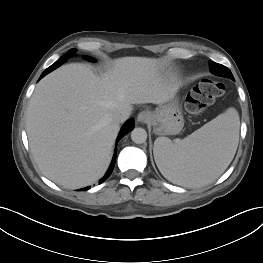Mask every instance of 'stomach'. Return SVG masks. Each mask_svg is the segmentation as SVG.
<instances>
[{
    "instance_id": "0dacf381",
    "label": "stomach",
    "mask_w": 263,
    "mask_h": 263,
    "mask_svg": "<svg viewBox=\"0 0 263 263\" xmlns=\"http://www.w3.org/2000/svg\"><path fill=\"white\" fill-rule=\"evenodd\" d=\"M150 123L156 135L178 134L184 126V119L177 101L170 100L151 112Z\"/></svg>"
}]
</instances>
